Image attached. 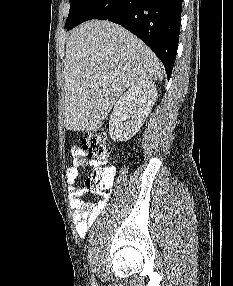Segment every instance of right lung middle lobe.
Masks as SVG:
<instances>
[{
    "instance_id": "right-lung-middle-lobe-1",
    "label": "right lung middle lobe",
    "mask_w": 233,
    "mask_h": 286,
    "mask_svg": "<svg viewBox=\"0 0 233 286\" xmlns=\"http://www.w3.org/2000/svg\"><path fill=\"white\" fill-rule=\"evenodd\" d=\"M91 0H69L70 11L66 20V29L71 27L77 20L83 9L88 5Z\"/></svg>"
}]
</instances>
